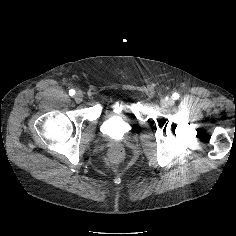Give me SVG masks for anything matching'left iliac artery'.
<instances>
[{
  "instance_id": "left-iliac-artery-1",
  "label": "left iliac artery",
  "mask_w": 236,
  "mask_h": 236,
  "mask_svg": "<svg viewBox=\"0 0 236 236\" xmlns=\"http://www.w3.org/2000/svg\"><path fill=\"white\" fill-rule=\"evenodd\" d=\"M178 98H179V94H178V93H174V94H173V99H176V100H177Z\"/></svg>"
}]
</instances>
